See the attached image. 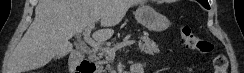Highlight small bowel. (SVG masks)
Masks as SVG:
<instances>
[{"label":"small bowel","mask_w":244,"mask_h":73,"mask_svg":"<svg viewBox=\"0 0 244 73\" xmlns=\"http://www.w3.org/2000/svg\"><path fill=\"white\" fill-rule=\"evenodd\" d=\"M131 69L133 70L131 73H144L146 65L144 63H136Z\"/></svg>","instance_id":"small-bowel-1"}]
</instances>
